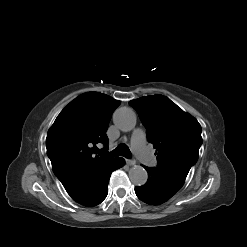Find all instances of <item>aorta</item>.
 Wrapping results in <instances>:
<instances>
[{
    "label": "aorta",
    "instance_id": "762f6f07",
    "mask_svg": "<svg viewBox=\"0 0 247 247\" xmlns=\"http://www.w3.org/2000/svg\"><path fill=\"white\" fill-rule=\"evenodd\" d=\"M115 126L121 131H131L135 128L137 117L135 112L128 107H121L115 111L113 116ZM129 178L135 185H144L148 174L141 166H134L129 170Z\"/></svg>",
    "mask_w": 247,
    "mask_h": 247
}]
</instances>
